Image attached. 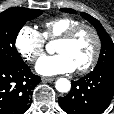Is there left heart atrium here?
<instances>
[{
  "mask_svg": "<svg viewBox=\"0 0 114 114\" xmlns=\"http://www.w3.org/2000/svg\"><path fill=\"white\" fill-rule=\"evenodd\" d=\"M75 69L74 62L64 53L43 57L36 64V71L45 76L70 73Z\"/></svg>",
  "mask_w": 114,
  "mask_h": 114,
  "instance_id": "1",
  "label": "left heart atrium"
}]
</instances>
